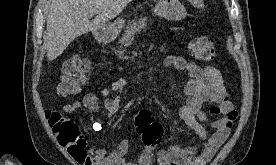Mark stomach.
Segmentation results:
<instances>
[{
	"label": "stomach",
	"mask_w": 276,
	"mask_h": 165,
	"mask_svg": "<svg viewBox=\"0 0 276 165\" xmlns=\"http://www.w3.org/2000/svg\"><path fill=\"white\" fill-rule=\"evenodd\" d=\"M154 12L170 21L182 20L187 15L184 5L179 0H158ZM124 23L125 20L123 18H118L113 23L96 29L93 34L98 41H112L120 33Z\"/></svg>",
	"instance_id": "obj_1"
}]
</instances>
